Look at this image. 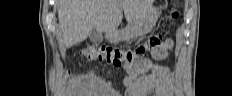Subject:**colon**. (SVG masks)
<instances>
[{"label":"colon","mask_w":232,"mask_h":96,"mask_svg":"<svg viewBox=\"0 0 232 96\" xmlns=\"http://www.w3.org/2000/svg\"><path fill=\"white\" fill-rule=\"evenodd\" d=\"M177 15L178 14L175 11L172 13L173 18H176ZM162 40H163L162 34H155L149 38L145 46L146 48L153 49L154 51L153 54L157 59L164 58L167 54V51L163 48L164 42H162ZM143 49L144 48H138L135 50L124 51V50L111 48V47H104V46L99 48L87 47L82 50V54L89 57L104 59L113 64H121L122 62L131 63L136 56H140L143 54L142 53ZM148 67H150L149 64L141 65L138 68V70L144 72Z\"/></svg>","instance_id":"5ec220e1"}]
</instances>
